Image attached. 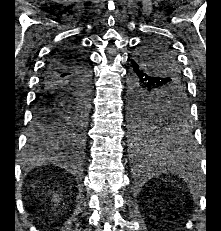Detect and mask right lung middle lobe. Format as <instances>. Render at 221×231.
<instances>
[{"label": "right lung middle lobe", "mask_w": 221, "mask_h": 231, "mask_svg": "<svg viewBox=\"0 0 221 231\" xmlns=\"http://www.w3.org/2000/svg\"><path fill=\"white\" fill-rule=\"evenodd\" d=\"M89 111V101L85 97L78 95L66 100V103L56 115L58 126H54L44 137L59 136L60 125L68 139L81 146L84 142L85 128Z\"/></svg>", "instance_id": "1"}]
</instances>
